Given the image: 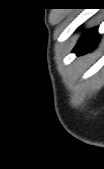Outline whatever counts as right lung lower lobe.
<instances>
[{"label": "right lung lower lobe", "instance_id": "1", "mask_svg": "<svg viewBox=\"0 0 104 169\" xmlns=\"http://www.w3.org/2000/svg\"><path fill=\"white\" fill-rule=\"evenodd\" d=\"M99 41V34L97 28L91 29L83 34L80 38L78 44L76 45L74 52L78 54H84L90 52L95 48L96 44Z\"/></svg>", "mask_w": 104, "mask_h": 169}]
</instances>
